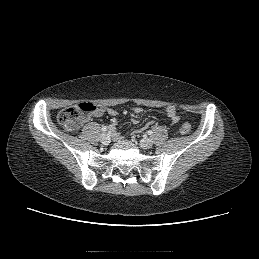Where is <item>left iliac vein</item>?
Masks as SVG:
<instances>
[{
  "mask_svg": "<svg viewBox=\"0 0 259 259\" xmlns=\"http://www.w3.org/2000/svg\"><path fill=\"white\" fill-rule=\"evenodd\" d=\"M141 147L149 149L153 146V140L151 138H144L140 141Z\"/></svg>",
  "mask_w": 259,
  "mask_h": 259,
  "instance_id": "left-iliac-vein-1",
  "label": "left iliac vein"
}]
</instances>
